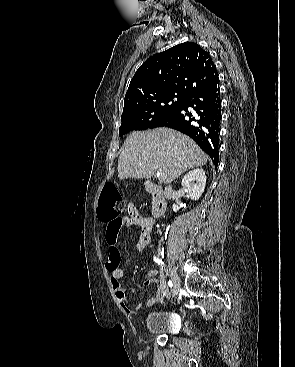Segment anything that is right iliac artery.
I'll return each mask as SVG.
<instances>
[{"label":"right iliac artery","mask_w":295,"mask_h":367,"mask_svg":"<svg viewBox=\"0 0 295 367\" xmlns=\"http://www.w3.org/2000/svg\"><path fill=\"white\" fill-rule=\"evenodd\" d=\"M154 261L159 265H163V261L160 258L154 257ZM168 286L171 288L173 287V283L171 280L168 281Z\"/></svg>","instance_id":"1"}]
</instances>
